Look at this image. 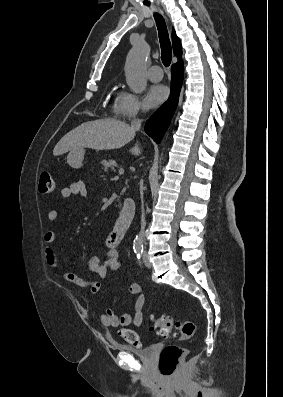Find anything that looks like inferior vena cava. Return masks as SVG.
Returning <instances> with one entry per match:
<instances>
[{
	"label": "inferior vena cava",
	"instance_id": "602c4592",
	"mask_svg": "<svg viewBox=\"0 0 283 397\" xmlns=\"http://www.w3.org/2000/svg\"><path fill=\"white\" fill-rule=\"evenodd\" d=\"M142 120L134 118L131 122V127L134 130H139L141 128ZM141 201H142V215H141V236L143 241L144 236V228H145V213L143 208V193H141Z\"/></svg>",
	"mask_w": 283,
	"mask_h": 397
}]
</instances>
